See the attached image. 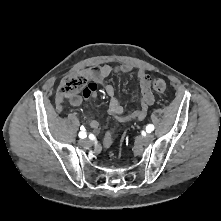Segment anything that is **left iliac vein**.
<instances>
[{
    "label": "left iliac vein",
    "mask_w": 221,
    "mask_h": 221,
    "mask_svg": "<svg viewBox=\"0 0 221 221\" xmlns=\"http://www.w3.org/2000/svg\"><path fill=\"white\" fill-rule=\"evenodd\" d=\"M154 140V136L151 134H147L144 137H139L138 142L142 145H148Z\"/></svg>",
    "instance_id": "left-iliac-vein-1"
}]
</instances>
